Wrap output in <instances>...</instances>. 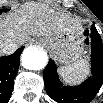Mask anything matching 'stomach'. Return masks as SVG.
Returning <instances> with one entry per match:
<instances>
[{"mask_svg":"<svg viewBox=\"0 0 103 103\" xmlns=\"http://www.w3.org/2000/svg\"><path fill=\"white\" fill-rule=\"evenodd\" d=\"M85 41L83 28H76L41 39V42L50 49L56 60L63 65H70L82 58L85 52Z\"/></svg>","mask_w":103,"mask_h":103,"instance_id":"stomach-1","label":"stomach"}]
</instances>
